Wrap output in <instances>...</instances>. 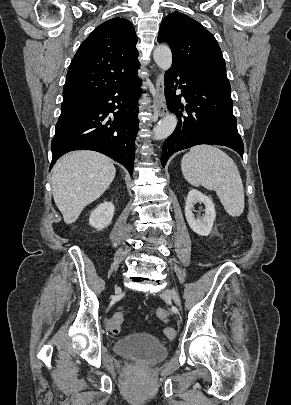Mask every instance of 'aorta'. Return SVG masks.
Masks as SVG:
<instances>
[{
	"label": "aorta",
	"instance_id": "aorta-1",
	"mask_svg": "<svg viewBox=\"0 0 291 405\" xmlns=\"http://www.w3.org/2000/svg\"><path fill=\"white\" fill-rule=\"evenodd\" d=\"M155 63L159 68L166 71L170 69L172 65V53L167 45H158L153 52ZM177 125V117L174 114H169L163 118L158 125L153 129V138L155 140H163L167 138L175 130Z\"/></svg>",
	"mask_w": 291,
	"mask_h": 405
}]
</instances>
